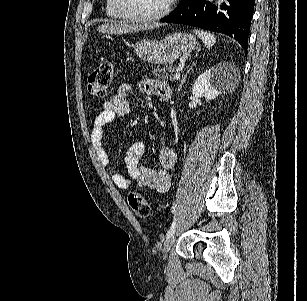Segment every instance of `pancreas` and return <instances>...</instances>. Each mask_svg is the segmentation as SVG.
I'll use <instances>...</instances> for the list:
<instances>
[{
	"label": "pancreas",
	"mask_w": 307,
	"mask_h": 301,
	"mask_svg": "<svg viewBox=\"0 0 307 301\" xmlns=\"http://www.w3.org/2000/svg\"><path fill=\"white\" fill-rule=\"evenodd\" d=\"M161 72H164V74H161ZM174 72L175 70L174 68H171V66H163V68H157V70H154L155 76H161V78H168V80H176Z\"/></svg>",
	"instance_id": "obj_1"
}]
</instances>
